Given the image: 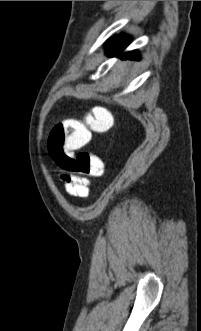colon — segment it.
I'll list each match as a JSON object with an SVG mask.
<instances>
[{"mask_svg": "<svg viewBox=\"0 0 201 331\" xmlns=\"http://www.w3.org/2000/svg\"><path fill=\"white\" fill-rule=\"evenodd\" d=\"M113 114L104 107H95L82 120L68 118L56 123L48 137V152L64 172L101 177L105 165L101 158L87 151L73 152L85 146L91 133H103L112 128Z\"/></svg>", "mask_w": 201, "mask_h": 331, "instance_id": "5ec220e1", "label": "colon"}]
</instances>
